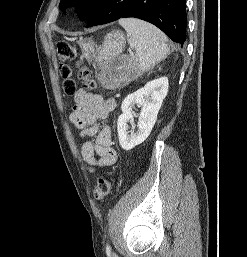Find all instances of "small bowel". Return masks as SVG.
<instances>
[{
	"mask_svg": "<svg viewBox=\"0 0 247 257\" xmlns=\"http://www.w3.org/2000/svg\"><path fill=\"white\" fill-rule=\"evenodd\" d=\"M75 105L69 116L70 122L79 130L83 143L81 154L85 164L93 171L95 166H110L116 162L117 153L112 146V131L107 121L115 108L113 98L80 89L74 96Z\"/></svg>",
	"mask_w": 247,
	"mask_h": 257,
	"instance_id": "1",
	"label": "small bowel"
}]
</instances>
